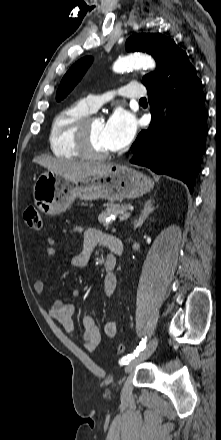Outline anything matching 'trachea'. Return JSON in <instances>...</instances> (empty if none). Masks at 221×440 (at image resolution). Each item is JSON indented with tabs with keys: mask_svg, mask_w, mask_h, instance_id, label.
Here are the masks:
<instances>
[{
	"mask_svg": "<svg viewBox=\"0 0 221 440\" xmlns=\"http://www.w3.org/2000/svg\"><path fill=\"white\" fill-rule=\"evenodd\" d=\"M140 102H147L146 98L140 99Z\"/></svg>",
	"mask_w": 221,
	"mask_h": 440,
	"instance_id": "1",
	"label": "trachea"
}]
</instances>
